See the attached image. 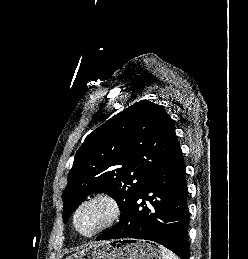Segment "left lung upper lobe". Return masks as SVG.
<instances>
[{
	"mask_svg": "<svg viewBox=\"0 0 248 259\" xmlns=\"http://www.w3.org/2000/svg\"><path fill=\"white\" fill-rule=\"evenodd\" d=\"M165 109L139 101L90 133L78 149L63 192V220L93 192L114 198L121 216L156 171L179 149Z\"/></svg>",
	"mask_w": 248,
	"mask_h": 259,
	"instance_id": "obj_1",
	"label": "left lung upper lobe"
}]
</instances>
